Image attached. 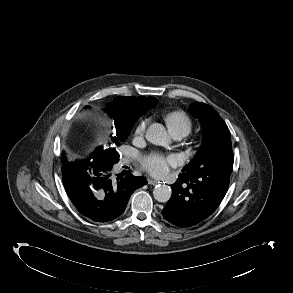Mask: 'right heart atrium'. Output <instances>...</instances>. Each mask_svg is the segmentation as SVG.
Here are the masks:
<instances>
[{"label": "right heart atrium", "mask_w": 293, "mask_h": 293, "mask_svg": "<svg viewBox=\"0 0 293 293\" xmlns=\"http://www.w3.org/2000/svg\"><path fill=\"white\" fill-rule=\"evenodd\" d=\"M148 119H142L135 127V135L142 136L145 133Z\"/></svg>", "instance_id": "right-heart-atrium-1"}]
</instances>
